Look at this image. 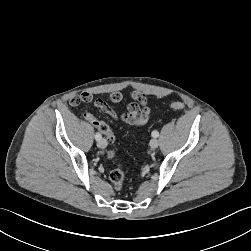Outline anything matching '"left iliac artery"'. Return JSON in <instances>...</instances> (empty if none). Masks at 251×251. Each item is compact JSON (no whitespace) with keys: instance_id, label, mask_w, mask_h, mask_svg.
<instances>
[{"instance_id":"left-iliac-artery-1","label":"left iliac artery","mask_w":251,"mask_h":251,"mask_svg":"<svg viewBox=\"0 0 251 251\" xmlns=\"http://www.w3.org/2000/svg\"><path fill=\"white\" fill-rule=\"evenodd\" d=\"M158 136H159L158 131L155 130L152 132V137L157 138Z\"/></svg>"}]
</instances>
